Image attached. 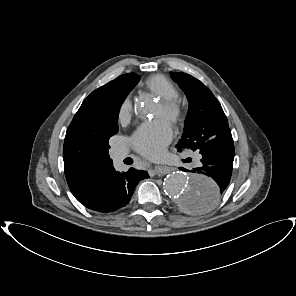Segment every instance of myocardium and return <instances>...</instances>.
<instances>
[{
  "label": "myocardium",
  "instance_id": "obj_1",
  "mask_svg": "<svg viewBox=\"0 0 296 296\" xmlns=\"http://www.w3.org/2000/svg\"><path fill=\"white\" fill-rule=\"evenodd\" d=\"M164 117L173 125L179 124L184 116V109L178 99H162Z\"/></svg>",
  "mask_w": 296,
  "mask_h": 296
}]
</instances>
